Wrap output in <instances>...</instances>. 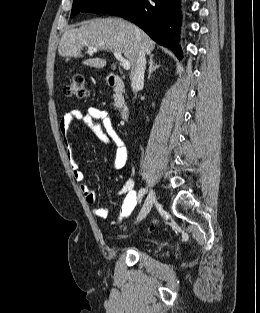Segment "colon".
Segmentation results:
<instances>
[{"label": "colon", "instance_id": "5ec220e1", "mask_svg": "<svg viewBox=\"0 0 260 313\" xmlns=\"http://www.w3.org/2000/svg\"><path fill=\"white\" fill-rule=\"evenodd\" d=\"M64 94L67 97L86 98L89 96V90L83 76L77 75L70 79L65 85ZM154 227H150L149 231L153 232Z\"/></svg>", "mask_w": 260, "mask_h": 313}]
</instances>
